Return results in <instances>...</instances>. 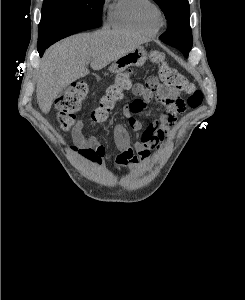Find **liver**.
Masks as SVG:
<instances>
[{
    "label": "liver",
    "instance_id": "liver-1",
    "mask_svg": "<svg viewBox=\"0 0 245 300\" xmlns=\"http://www.w3.org/2000/svg\"><path fill=\"white\" fill-rule=\"evenodd\" d=\"M129 33L102 29L66 38L44 54L37 75L36 96L41 111L47 114L60 92L72 82L100 70L141 44Z\"/></svg>",
    "mask_w": 245,
    "mask_h": 300
}]
</instances>
